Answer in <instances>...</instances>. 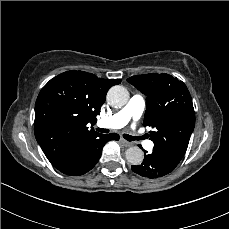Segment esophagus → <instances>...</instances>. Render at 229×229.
<instances>
[{
	"label": "esophagus",
	"instance_id": "esophagus-1",
	"mask_svg": "<svg viewBox=\"0 0 229 229\" xmlns=\"http://www.w3.org/2000/svg\"><path fill=\"white\" fill-rule=\"evenodd\" d=\"M120 142L125 146V147H130L132 144L128 141H126L123 138H120Z\"/></svg>",
	"mask_w": 229,
	"mask_h": 229
}]
</instances>
